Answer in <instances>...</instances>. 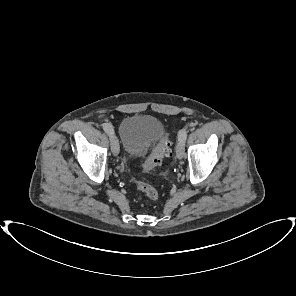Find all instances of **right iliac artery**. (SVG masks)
I'll list each match as a JSON object with an SVG mask.
<instances>
[{"label":"right iliac artery","mask_w":296,"mask_h":296,"mask_svg":"<svg viewBox=\"0 0 296 296\" xmlns=\"http://www.w3.org/2000/svg\"><path fill=\"white\" fill-rule=\"evenodd\" d=\"M103 129L109 135L114 133L112 126L109 124H103Z\"/></svg>","instance_id":"1"}]
</instances>
